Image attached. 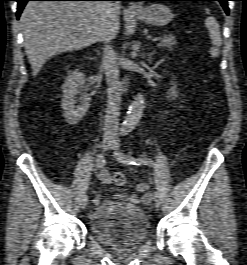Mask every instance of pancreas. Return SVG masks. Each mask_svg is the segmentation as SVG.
I'll use <instances>...</instances> for the list:
<instances>
[{
    "label": "pancreas",
    "instance_id": "1",
    "mask_svg": "<svg viewBox=\"0 0 247 265\" xmlns=\"http://www.w3.org/2000/svg\"><path fill=\"white\" fill-rule=\"evenodd\" d=\"M177 45L176 38L173 35H164L158 43V47L172 48Z\"/></svg>",
    "mask_w": 247,
    "mask_h": 265
}]
</instances>
